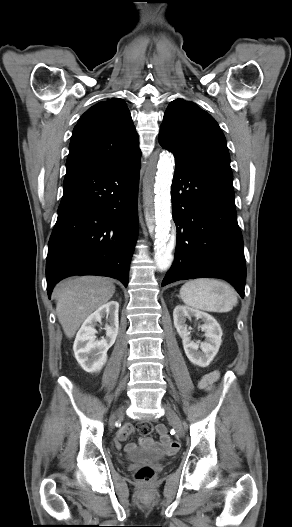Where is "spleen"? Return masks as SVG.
<instances>
[{"label": "spleen", "instance_id": "1", "mask_svg": "<svg viewBox=\"0 0 292 527\" xmlns=\"http://www.w3.org/2000/svg\"><path fill=\"white\" fill-rule=\"evenodd\" d=\"M180 298L190 307L208 312H228L237 304L235 290L215 279H194L180 289Z\"/></svg>", "mask_w": 292, "mask_h": 527}]
</instances>
